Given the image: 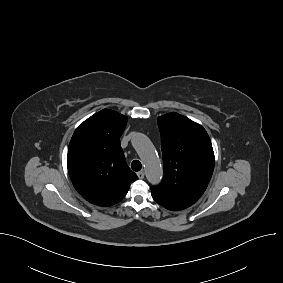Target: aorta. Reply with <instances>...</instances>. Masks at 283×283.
I'll return each mask as SVG.
<instances>
[{
  "label": "aorta",
  "mask_w": 283,
  "mask_h": 283,
  "mask_svg": "<svg viewBox=\"0 0 283 283\" xmlns=\"http://www.w3.org/2000/svg\"><path fill=\"white\" fill-rule=\"evenodd\" d=\"M132 144L144 163L148 182L152 185L159 184L163 170L150 140L145 135L139 133L133 137Z\"/></svg>",
  "instance_id": "obj_1"
}]
</instances>
